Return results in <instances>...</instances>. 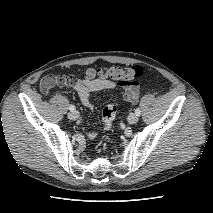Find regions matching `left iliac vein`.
<instances>
[{
  "label": "left iliac vein",
  "mask_w": 213,
  "mask_h": 213,
  "mask_svg": "<svg viewBox=\"0 0 213 213\" xmlns=\"http://www.w3.org/2000/svg\"><path fill=\"white\" fill-rule=\"evenodd\" d=\"M127 121L129 124H134L138 121V116L134 113H130L128 118H127Z\"/></svg>",
  "instance_id": "4c4485c4"
}]
</instances>
